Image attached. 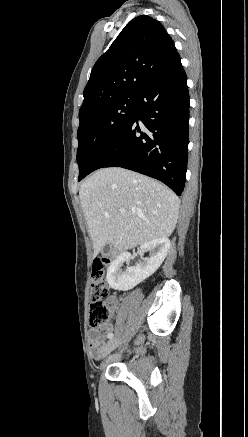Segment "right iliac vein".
<instances>
[{
    "label": "right iliac vein",
    "mask_w": 248,
    "mask_h": 437,
    "mask_svg": "<svg viewBox=\"0 0 248 437\" xmlns=\"http://www.w3.org/2000/svg\"><path fill=\"white\" fill-rule=\"evenodd\" d=\"M121 344V339H111L103 348L102 355L106 356L110 352H112L118 345Z\"/></svg>",
    "instance_id": "obj_1"
}]
</instances>
